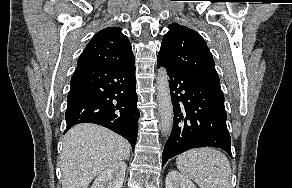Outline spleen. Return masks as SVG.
Listing matches in <instances>:
<instances>
[{"label": "spleen", "instance_id": "3e777b00", "mask_svg": "<svg viewBox=\"0 0 292 188\" xmlns=\"http://www.w3.org/2000/svg\"><path fill=\"white\" fill-rule=\"evenodd\" d=\"M178 170L200 188H231V166L220 151L204 147L191 149L176 158Z\"/></svg>", "mask_w": 292, "mask_h": 188}]
</instances>
